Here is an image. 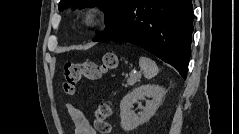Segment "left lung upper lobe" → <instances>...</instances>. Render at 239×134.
Returning a JSON list of instances; mask_svg holds the SVG:
<instances>
[{"label":"left lung upper lobe","instance_id":"obj_1","mask_svg":"<svg viewBox=\"0 0 239 134\" xmlns=\"http://www.w3.org/2000/svg\"><path fill=\"white\" fill-rule=\"evenodd\" d=\"M129 0H61L58 6L60 11L73 7L98 6L102 9L106 16L107 28L111 27L119 18L125 5ZM101 32H98V34Z\"/></svg>","mask_w":239,"mask_h":134}]
</instances>
